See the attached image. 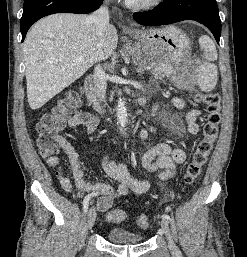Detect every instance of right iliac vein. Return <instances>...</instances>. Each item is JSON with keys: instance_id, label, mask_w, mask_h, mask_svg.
<instances>
[{"instance_id": "63e3f726", "label": "right iliac vein", "mask_w": 247, "mask_h": 257, "mask_svg": "<svg viewBox=\"0 0 247 257\" xmlns=\"http://www.w3.org/2000/svg\"><path fill=\"white\" fill-rule=\"evenodd\" d=\"M96 219V211L93 207L89 209L88 216H87V225L88 228L91 229L95 223Z\"/></svg>"}]
</instances>
